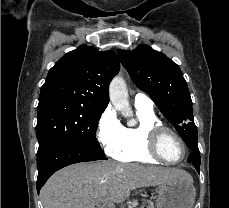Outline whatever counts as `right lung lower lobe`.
<instances>
[{"instance_id":"98d812e1","label":"right lung lower lobe","mask_w":229,"mask_h":208,"mask_svg":"<svg viewBox=\"0 0 229 208\" xmlns=\"http://www.w3.org/2000/svg\"><path fill=\"white\" fill-rule=\"evenodd\" d=\"M102 151L91 149L76 142H60L37 155V192L57 170L70 164L106 160Z\"/></svg>"}]
</instances>
